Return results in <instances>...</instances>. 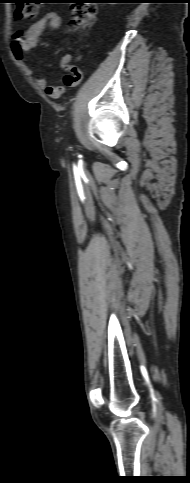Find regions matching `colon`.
Instances as JSON below:
<instances>
[{"mask_svg":"<svg viewBox=\"0 0 190 483\" xmlns=\"http://www.w3.org/2000/svg\"><path fill=\"white\" fill-rule=\"evenodd\" d=\"M15 9V17L17 19H30L36 16L38 12V0H18ZM72 4V18L69 26L72 29H89L96 20V7L94 4L76 0ZM74 78L68 74L63 78V85H72ZM61 87V86H60Z\"/></svg>","mask_w":190,"mask_h":483,"instance_id":"obj_1","label":"colon"}]
</instances>
